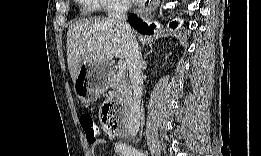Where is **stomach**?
I'll return each mask as SVG.
<instances>
[{
  "mask_svg": "<svg viewBox=\"0 0 261 156\" xmlns=\"http://www.w3.org/2000/svg\"><path fill=\"white\" fill-rule=\"evenodd\" d=\"M109 83V65L107 63L87 64L84 72L80 70L74 82V90L82 102L90 104L105 91Z\"/></svg>",
  "mask_w": 261,
  "mask_h": 156,
  "instance_id": "1",
  "label": "stomach"
}]
</instances>
